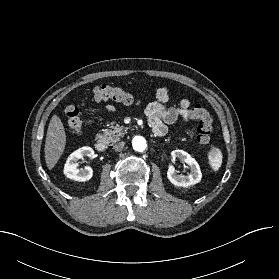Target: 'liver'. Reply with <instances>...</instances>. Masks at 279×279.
Here are the masks:
<instances>
[{
	"label": "liver",
	"mask_w": 279,
	"mask_h": 279,
	"mask_svg": "<svg viewBox=\"0 0 279 279\" xmlns=\"http://www.w3.org/2000/svg\"><path fill=\"white\" fill-rule=\"evenodd\" d=\"M66 145V133L61 119L52 116L45 140V161L47 168L52 170L64 152Z\"/></svg>",
	"instance_id": "obj_1"
}]
</instances>
